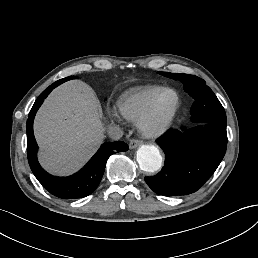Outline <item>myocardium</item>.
<instances>
[{"label": "myocardium", "instance_id": "myocardium-1", "mask_svg": "<svg viewBox=\"0 0 258 258\" xmlns=\"http://www.w3.org/2000/svg\"><path fill=\"white\" fill-rule=\"evenodd\" d=\"M164 94H170L173 97L172 109H171L170 113L162 120L161 125L156 132H147L144 129V123L147 119H149L150 117H152L155 114L158 101H159L160 97L163 96ZM178 108H179V97H178L177 93L173 89H170V88H161L156 93V95L152 99V101L149 104V106L147 107V109L137 119V126H138V130H139L140 134L144 138H148V139H158V138L164 136L171 128V125L177 114Z\"/></svg>", "mask_w": 258, "mask_h": 258}]
</instances>
